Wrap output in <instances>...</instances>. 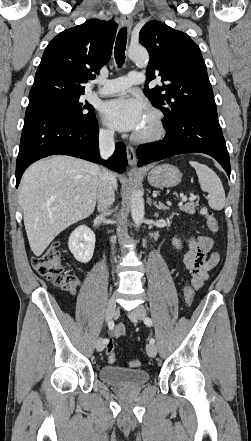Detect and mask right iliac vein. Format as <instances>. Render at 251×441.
Wrapping results in <instances>:
<instances>
[{"label": "right iliac vein", "instance_id": "obj_1", "mask_svg": "<svg viewBox=\"0 0 251 441\" xmlns=\"http://www.w3.org/2000/svg\"><path fill=\"white\" fill-rule=\"evenodd\" d=\"M116 311V301L114 297H111L107 303L106 306V311H105V317H106V321H110ZM105 347V343L103 342L102 338H99L96 342V350L97 351H102Z\"/></svg>", "mask_w": 251, "mask_h": 441}]
</instances>
